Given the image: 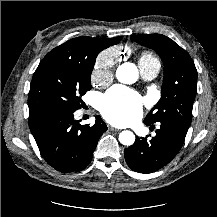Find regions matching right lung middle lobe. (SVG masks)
I'll return each mask as SVG.
<instances>
[{
	"mask_svg": "<svg viewBox=\"0 0 217 217\" xmlns=\"http://www.w3.org/2000/svg\"><path fill=\"white\" fill-rule=\"evenodd\" d=\"M96 56L89 59L47 54L36 69L28 95L29 114L64 110L74 112L91 89Z\"/></svg>",
	"mask_w": 217,
	"mask_h": 217,
	"instance_id": "1",
	"label": "right lung middle lobe"
}]
</instances>
